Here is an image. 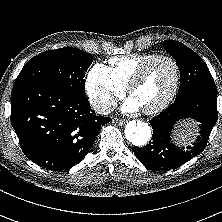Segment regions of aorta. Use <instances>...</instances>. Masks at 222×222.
Listing matches in <instances>:
<instances>
[{
  "label": "aorta",
  "instance_id": "1",
  "mask_svg": "<svg viewBox=\"0 0 222 222\" xmlns=\"http://www.w3.org/2000/svg\"><path fill=\"white\" fill-rule=\"evenodd\" d=\"M151 136L150 126L141 120L128 122L124 129L125 141L135 147L145 146L150 141Z\"/></svg>",
  "mask_w": 222,
  "mask_h": 222
}]
</instances>
